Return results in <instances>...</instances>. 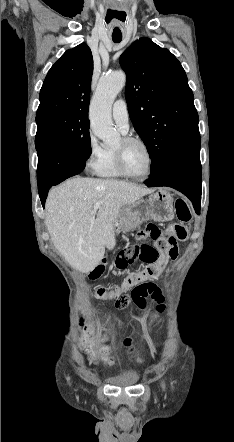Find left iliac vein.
<instances>
[{"label": "left iliac vein", "mask_w": 234, "mask_h": 442, "mask_svg": "<svg viewBox=\"0 0 234 442\" xmlns=\"http://www.w3.org/2000/svg\"><path fill=\"white\" fill-rule=\"evenodd\" d=\"M161 386H162L163 389L165 388L164 382L161 383Z\"/></svg>", "instance_id": "obj_1"}]
</instances>
